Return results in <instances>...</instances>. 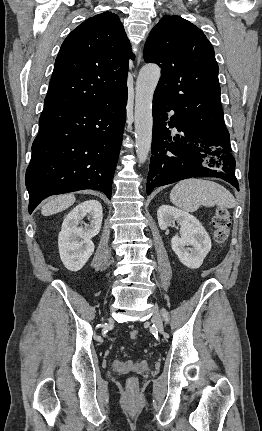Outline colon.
<instances>
[{"mask_svg":"<svg viewBox=\"0 0 262 431\" xmlns=\"http://www.w3.org/2000/svg\"><path fill=\"white\" fill-rule=\"evenodd\" d=\"M213 225V237L217 245H224L228 239L230 226H231V216L227 209L218 208L215 211L214 218L212 220ZM139 331L137 329H132L130 331L131 338H137ZM137 383L136 378H131L129 384L134 386Z\"/></svg>","mask_w":262,"mask_h":431,"instance_id":"5ec220e1","label":"colon"}]
</instances>
